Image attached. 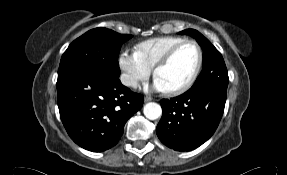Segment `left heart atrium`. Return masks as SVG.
I'll use <instances>...</instances> for the list:
<instances>
[{
    "mask_svg": "<svg viewBox=\"0 0 287 175\" xmlns=\"http://www.w3.org/2000/svg\"><path fill=\"white\" fill-rule=\"evenodd\" d=\"M153 88L157 91H160V92L167 91L165 84L158 77H155V79H154Z\"/></svg>",
    "mask_w": 287,
    "mask_h": 175,
    "instance_id": "left-heart-atrium-1",
    "label": "left heart atrium"
}]
</instances>
